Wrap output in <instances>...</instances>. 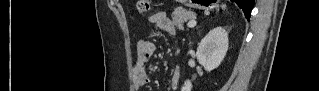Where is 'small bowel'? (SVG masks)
<instances>
[{"mask_svg": "<svg viewBox=\"0 0 319 91\" xmlns=\"http://www.w3.org/2000/svg\"><path fill=\"white\" fill-rule=\"evenodd\" d=\"M149 23L156 26L159 30L166 32L169 35L175 34V28L165 12H156L149 16ZM157 46L154 42L142 39L137 44V59L133 65V74L135 85L143 87L151 82V77L148 72V61L156 54ZM180 69L174 67L170 74V83L173 90H176L180 83Z\"/></svg>", "mask_w": 319, "mask_h": 91, "instance_id": "obj_1", "label": "small bowel"}]
</instances>
